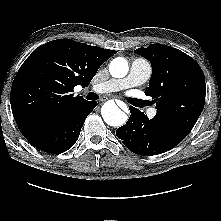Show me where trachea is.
Wrapping results in <instances>:
<instances>
[{
	"mask_svg": "<svg viewBox=\"0 0 221 221\" xmlns=\"http://www.w3.org/2000/svg\"><path fill=\"white\" fill-rule=\"evenodd\" d=\"M88 100H97L98 99V95L90 92L87 97ZM130 102V104L136 106V107H144V106H148V102L145 100H140V99H135V98H129L128 100Z\"/></svg>",
	"mask_w": 221,
	"mask_h": 221,
	"instance_id": "obj_1",
	"label": "trachea"
}]
</instances>
